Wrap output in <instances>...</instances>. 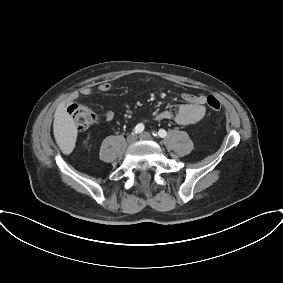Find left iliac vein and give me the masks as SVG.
Instances as JSON below:
<instances>
[{
    "mask_svg": "<svg viewBox=\"0 0 283 283\" xmlns=\"http://www.w3.org/2000/svg\"><path fill=\"white\" fill-rule=\"evenodd\" d=\"M139 138L140 139H143V140H151L152 139V136L150 133L148 132H143L139 135Z\"/></svg>",
    "mask_w": 283,
    "mask_h": 283,
    "instance_id": "4c4485c4",
    "label": "left iliac vein"
}]
</instances>
